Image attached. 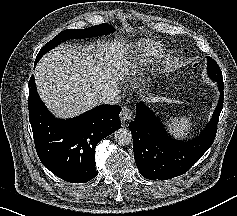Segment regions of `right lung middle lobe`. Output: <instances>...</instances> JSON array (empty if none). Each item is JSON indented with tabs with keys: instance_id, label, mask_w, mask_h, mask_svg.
<instances>
[{
	"instance_id": "obj_1",
	"label": "right lung middle lobe",
	"mask_w": 237,
	"mask_h": 216,
	"mask_svg": "<svg viewBox=\"0 0 237 216\" xmlns=\"http://www.w3.org/2000/svg\"><path fill=\"white\" fill-rule=\"evenodd\" d=\"M115 29L107 23H103L97 26H92L86 29H67L62 31L57 36H55L52 40H50L42 49L39 51L35 62H37L44 54H46L51 49L55 48L57 45L61 43V41L67 39H81L92 36H98L103 34H109L113 32Z\"/></svg>"
}]
</instances>
